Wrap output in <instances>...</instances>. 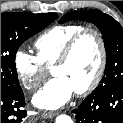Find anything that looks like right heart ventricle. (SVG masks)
I'll return each mask as SVG.
<instances>
[{"label": "right heart ventricle", "instance_id": "1", "mask_svg": "<svg viewBox=\"0 0 123 123\" xmlns=\"http://www.w3.org/2000/svg\"><path fill=\"white\" fill-rule=\"evenodd\" d=\"M85 27L81 24L57 25L47 29L34 42L37 57L51 68L60 57L69 39Z\"/></svg>", "mask_w": 123, "mask_h": 123}]
</instances>
